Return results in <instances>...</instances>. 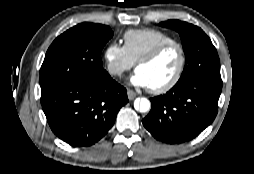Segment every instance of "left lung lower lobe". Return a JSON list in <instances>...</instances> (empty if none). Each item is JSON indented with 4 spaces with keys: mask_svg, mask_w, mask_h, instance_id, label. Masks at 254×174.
I'll list each match as a JSON object with an SVG mask.
<instances>
[{
    "mask_svg": "<svg viewBox=\"0 0 254 174\" xmlns=\"http://www.w3.org/2000/svg\"><path fill=\"white\" fill-rule=\"evenodd\" d=\"M221 89V78H200L175 85L166 94L150 99L152 108L143 125L159 141H189L215 119Z\"/></svg>",
    "mask_w": 254,
    "mask_h": 174,
    "instance_id": "obj_1",
    "label": "left lung lower lobe"
}]
</instances>
